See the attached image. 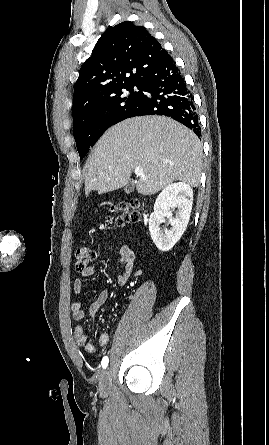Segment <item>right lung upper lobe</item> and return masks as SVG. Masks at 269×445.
I'll use <instances>...</instances> for the list:
<instances>
[{"instance_id":"obj_1","label":"right lung upper lobe","mask_w":269,"mask_h":445,"mask_svg":"<svg viewBox=\"0 0 269 445\" xmlns=\"http://www.w3.org/2000/svg\"><path fill=\"white\" fill-rule=\"evenodd\" d=\"M169 58L143 26L125 21L108 28L79 71L73 108L124 85L140 83L148 72Z\"/></svg>"}]
</instances>
